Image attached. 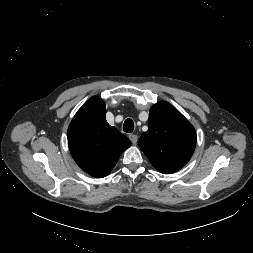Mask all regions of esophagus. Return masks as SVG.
<instances>
[{"instance_id":"1","label":"esophagus","mask_w":253,"mask_h":253,"mask_svg":"<svg viewBox=\"0 0 253 253\" xmlns=\"http://www.w3.org/2000/svg\"><path fill=\"white\" fill-rule=\"evenodd\" d=\"M129 139L133 144H136L138 141V136L136 134H129Z\"/></svg>"}]
</instances>
